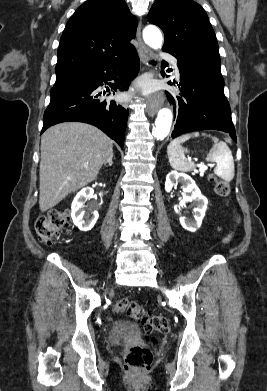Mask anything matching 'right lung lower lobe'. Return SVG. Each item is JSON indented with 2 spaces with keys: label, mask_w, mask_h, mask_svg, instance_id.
<instances>
[{
  "label": "right lung lower lobe",
  "mask_w": 267,
  "mask_h": 391,
  "mask_svg": "<svg viewBox=\"0 0 267 391\" xmlns=\"http://www.w3.org/2000/svg\"><path fill=\"white\" fill-rule=\"evenodd\" d=\"M139 63L137 52L133 50L121 58L87 67L56 81L41 133L57 123L84 122L98 127L123 148L128 111L114 101L102 99L98 88L113 79L115 83H110L106 91L113 94L117 89L125 91L139 72Z\"/></svg>",
  "instance_id": "right-lung-lower-lobe-1"
}]
</instances>
